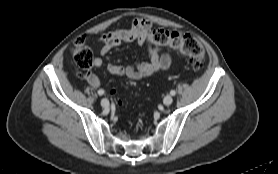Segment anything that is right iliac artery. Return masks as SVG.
Segmentation results:
<instances>
[{"mask_svg":"<svg viewBox=\"0 0 278 174\" xmlns=\"http://www.w3.org/2000/svg\"><path fill=\"white\" fill-rule=\"evenodd\" d=\"M98 94H99L100 96H102V95L104 94V90H103V89H99V90H98Z\"/></svg>","mask_w":278,"mask_h":174,"instance_id":"82829eb1","label":"right iliac artery"}]
</instances>
